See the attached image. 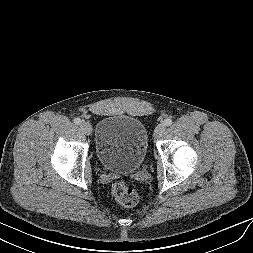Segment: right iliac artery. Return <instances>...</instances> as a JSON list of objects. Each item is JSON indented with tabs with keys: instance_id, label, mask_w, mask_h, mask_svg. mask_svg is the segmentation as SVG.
<instances>
[{
	"instance_id": "right-iliac-artery-1",
	"label": "right iliac artery",
	"mask_w": 253,
	"mask_h": 253,
	"mask_svg": "<svg viewBox=\"0 0 253 253\" xmlns=\"http://www.w3.org/2000/svg\"><path fill=\"white\" fill-rule=\"evenodd\" d=\"M74 123L79 125L81 123V119L80 118H75Z\"/></svg>"
}]
</instances>
